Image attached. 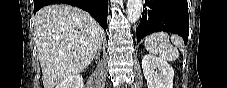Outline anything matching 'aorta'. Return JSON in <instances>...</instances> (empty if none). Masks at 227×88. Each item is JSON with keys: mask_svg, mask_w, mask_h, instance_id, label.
Masks as SVG:
<instances>
[{"mask_svg": "<svg viewBox=\"0 0 227 88\" xmlns=\"http://www.w3.org/2000/svg\"><path fill=\"white\" fill-rule=\"evenodd\" d=\"M142 10V0L127 1V18L131 23L139 20Z\"/></svg>", "mask_w": 227, "mask_h": 88, "instance_id": "obj_1", "label": "aorta"}]
</instances>
